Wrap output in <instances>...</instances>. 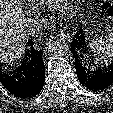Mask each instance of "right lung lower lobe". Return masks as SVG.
<instances>
[{
    "mask_svg": "<svg viewBox=\"0 0 113 113\" xmlns=\"http://www.w3.org/2000/svg\"><path fill=\"white\" fill-rule=\"evenodd\" d=\"M43 53L28 41L27 52L21 65L10 71L0 66V83L14 96L22 99L35 97L45 82Z\"/></svg>",
    "mask_w": 113,
    "mask_h": 113,
    "instance_id": "1",
    "label": "right lung lower lobe"
}]
</instances>
